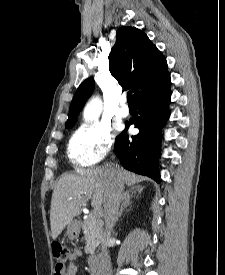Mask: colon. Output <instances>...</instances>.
<instances>
[{"label":"colon","mask_w":225,"mask_h":275,"mask_svg":"<svg viewBox=\"0 0 225 275\" xmlns=\"http://www.w3.org/2000/svg\"><path fill=\"white\" fill-rule=\"evenodd\" d=\"M52 254L54 259L57 261V267L54 275H63L66 271L65 262L68 260L70 255L69 249L59 242H54L52 244Z\"/></svg>","instance_id":"obj_1"}]
</instances>
